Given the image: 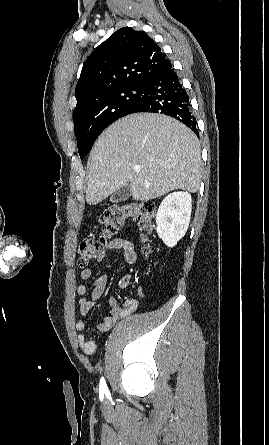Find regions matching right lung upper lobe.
<instances>
[{
	"instance_id": "1",
	"label": "right lung upper lobe",
	"mask_w": 269,
	"mask_h": 445,
	"mask_svg": "<svg viewBox=\"0 0 269 445\" xmlns=\"http://www.w3.org/2000/svg\"><path fill=\"white\" fill-rule=\"evenodd\" d=\"M168 63L160 47L145 32L130 27L117 30L84 63L75 89V110L122 86L147 84Z\"/></svg>"
}]
</instances>
